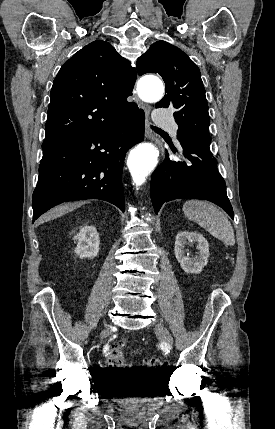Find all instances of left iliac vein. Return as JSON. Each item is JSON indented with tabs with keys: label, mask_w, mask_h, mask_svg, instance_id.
Masks as SVG:
<instances>
[{
	"label": "left iliac vein",
	"mask_w": 275,
	"mask_h": 429,
	"mask_svg": "<svg viewBox=\"0 0 275 429\" xmlns=\"http://www.w3.org/2000/svg\"><path fill=\"white\" fill-rule=\"evenodd\" d=\"M155 332L161 342L167 347L171 348L173 338L167 328L162 323H157L155 326Z\"/></svg>",
	"instance_id": "left-iliac-vein-1"
}]
</instances>
